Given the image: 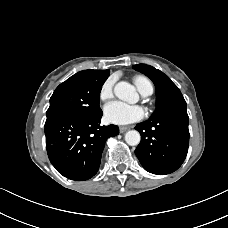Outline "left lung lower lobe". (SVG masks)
I'll return each mask as SVG.
<instances>
[{"instance_id": "0a47b994", "label": "left lung lower lobe", "mask_w": 228, "mask_h": 228, "mask_svg": "<svg viewBox=\"0 0 228 228\" xmlns=\"http://www.w3.org/2000/svg\"><path fill=\"white\" fill-rule=\"evenodd\" d=\"M135 129L141 134L135 154L145 170L165 175L182 165L189 145L186 105L175 107L156 120L139 123Z\"/></svg>"}]
</instances>
